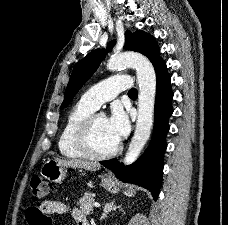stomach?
Returning <instances> with one entry per match:
<instances>
[{"label":"stomach","instance_id":"0dacf381","mask_svg":"<svg viewBox=\"0 0 228 225\" xmlns=\"http://www.w3.org/2000/svg\"><path fill=\"white\" fill-rule=\"evenodd\" d=\"M67 169V165L59 163L56 159H48V161H45L44 165H42L40 175H42L44 179H47V181H51V183H63L67 175ZM102 187H104L106 191H109V193H118L119 191L116 181H114L110 175L103 177ZM125 195L130 197L132 191L131 193H125Z\"/></svg>","mask_w":228,"mask_h":225}]
</instances>
